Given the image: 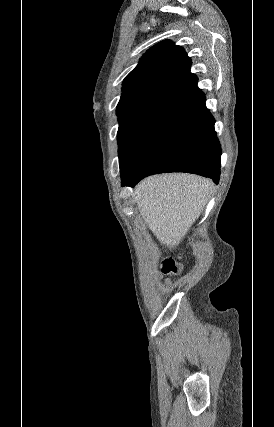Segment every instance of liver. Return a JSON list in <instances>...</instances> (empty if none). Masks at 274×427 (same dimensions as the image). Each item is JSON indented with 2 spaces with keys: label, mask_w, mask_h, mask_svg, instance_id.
I'll list each match as a JSON object with an SVG mask.
<instances>
[{
  "label": "liver",
  "mask_w": 274,
  "mask_h": 427,
  "mask_svg": "<svg viewBox=\"0 0 274 427\" xmlns=\"http://www.w3.org/2000/svg\"><path fill=\"white\" fill-rule=\"evenodd\" d=\"M212 182L192 174H162L142 180L134 188L140 215L161 243L179 245L195 219L203 212Z\"/></svg>",
  "instance_id": "obj_1"
}]
</instances>
